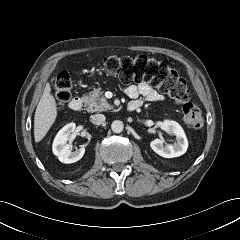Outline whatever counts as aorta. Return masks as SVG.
<instances>
[{
    "label": "aorta",
    "mask_w": 240,
    "mask_h": 240,
    "mask_svg": "<svg viewBox=\"0 0 240 240\" xmlns=\"http://www.w3.org/2000/svg\"><path fill=\"white\" fill-rule=\"evenodd\" d=\"M111 129L114 133H121L124 129V124L120 120H115L111 124Z\"/></svg>",
    "instance_id": "aorta-1"
}]
</instances>
